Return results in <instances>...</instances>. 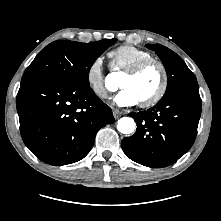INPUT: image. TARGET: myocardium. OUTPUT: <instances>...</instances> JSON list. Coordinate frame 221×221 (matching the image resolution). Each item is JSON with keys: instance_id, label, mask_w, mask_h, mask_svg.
<instances>
[{"instance_id": "myocardium-1", "label": "myocardium", "mask_w": 221, "mask_h": 221, "mask_svg": "<svg viewBox=\"0 0 221 221\" xmlns=\"http://www.w3.org/2000/svg\"><path fill=\"white\" fill-rule=\"evenodd\" d=\"M151 64H155L159 67L161 72V82L156 92L150 98L140 102V106L142 107L154 106L164 97L168 88L169 81L168 71L165 64L158 58L148 57L133 64L123 73V75L126 76H135Z\"/></svg>"}]
</instances>
